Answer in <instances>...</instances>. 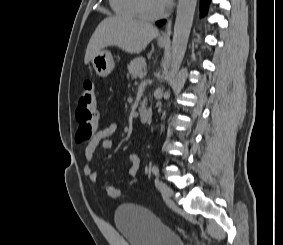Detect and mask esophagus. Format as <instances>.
<instances>
[{
    "mask_svg": "<svg viewBox=\"0 0 283 245\" xmlns=\"http://www.w3.org/2000/svg\"><path fill=\"white\" fill-rule=\"evenodd\" d=\"M172 19H170L167 23L165 30L161 33L159 39L161 41H169L170 40V29H171Z\"/></svg>",
    "mask_w": 283,
    "mask_h": 245,
    "instance_id": "1",
    "label": "esophagus"
}]
</instances>
